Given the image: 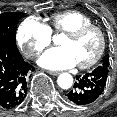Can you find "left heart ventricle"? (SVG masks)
<instances>
[{
    "instance_id": "obj_1",
    "label": "left heart ventricle",
    "mask_w": 117,
    "mask_h": 117,
    "mask_svg": "<svg viewBox=\"0 0 117 117\" xmlns=\"http://www.w3.org/2000/svg\"><path fill=\"white\" fill-rule=\"evenodd\" d=\"M60 44L71 50L77 64L85 63L96 54L100 45V37L96 31H89L78 38L63 36Z\"/></svg>"
}]
</instances>
